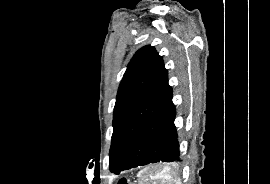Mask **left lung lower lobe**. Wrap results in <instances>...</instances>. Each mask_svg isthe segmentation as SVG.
<instances>
[{
    "label": "left lung lower lobe",
    "mask_w": 270,
    "mask_h": 184,
    "mask_svg": "<svg viewBox=\"0 0 270 184\" xmlns=\"http://www.w3.org/2000/svg\"><path fill=\"white\" fill-rule=\"evenodd\" d=\"M172 97L171 88L115 174L150 163L180 160L178 134L174 124L176 109Z\"/></svg>",
    "instance_id": "1"
}]
</instances>
